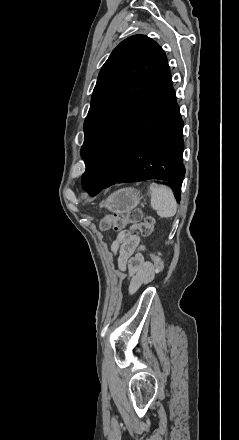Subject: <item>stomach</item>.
Instances as JSON below:
<instances>
[{
  "label": "stomach",
  "mask_w": 239,
  "mask_h": 440,
  "mask_svg": "<svg viewBox=\"0 0 239 440\" xmlns=\"http://www.w3.org/2000/svg\"><path fill=\"white\" fill-rule=\"evenodd\" d=\"M141 194L139 190L134 188H122L118 192H114L106 198L105 202H101L100 208H107L114 214H127L134 210L140 204Z\"/></svg>",
  "instance_id": "1"
}]
</instances>
